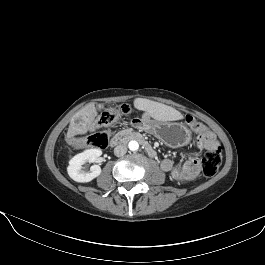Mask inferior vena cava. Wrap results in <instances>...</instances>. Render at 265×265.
<instances>
[{"label":"inferior vena cava","mask_w":265,"mask_h":265,"mask_svg":"<svg viewBox=\"0 0 265 265\" xmlns=\"http://www.w3.org/2000/svg\"><path fill=\"white\" fill-rule=\"evenodd\" d=\"M126 153H127V146L126 145L120 144L114 148V154L117 157H121V156L125 155Z\"/></svg>","instance_id":"602c4592"}]
</instances>
